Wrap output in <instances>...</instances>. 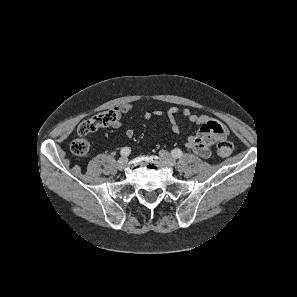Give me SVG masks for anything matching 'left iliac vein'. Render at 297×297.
Segmentation results:
<instances>
[{
    "instance_id": "4c4485c4",
    "label": "left iliac vein",
    "mask_w": 297,
    "mask_h": 297,
    "mask_svg": "<svg viewBox=\"0 0 297 297\" xmlns=\"http://www.w3.org/2000/svg\"><path fill=\"white\" fill-rule=\"evenodd\" d=\"M159 156L164 159L165 161H167L171 166H175L176 162L174 157L167 151L165 150H161L159 152Z\"/></svg>"
}]
</instances>
